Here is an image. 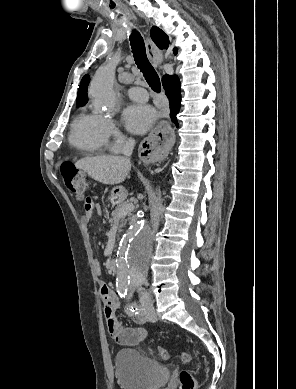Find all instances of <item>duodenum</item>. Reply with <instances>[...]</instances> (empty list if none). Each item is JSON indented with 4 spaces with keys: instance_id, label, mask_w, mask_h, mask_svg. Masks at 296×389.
<instances>
[{
    "instance_id": "obj_1",
    "label": "duodenum",
    "mask_w": 296,
    "mask_h": 389,
    "mask_svg": "<svg viewBox=\"0 0 296 389\" xmlns=\"http://www.w3.org/2000/svg\"><path fill=\"white\" fill-rule=\"evenodd\" d=\"M109 270L110 272L114 275V274H117V261H115V259H112L110 262H109Z\"/></svg>"
}]
</instances>
